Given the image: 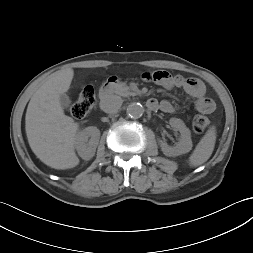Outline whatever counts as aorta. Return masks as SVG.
<instances>
[{
	"label": "aorta",
	"instance_id": "aorta-1",
	"mask_svg": "<svg viewBox=\"0 0 253 253\" xmlns=\"http://www.w3.org/2000/svg\"><path fill=\"white\" fill-rule=\"evenodd\" d=\"M126 113L133 119H138L144 114V107L138 102H132L127 106Z\"/></svg>",
	"mask_w": 253,
	"mask_h": 253
}]
</instances>
